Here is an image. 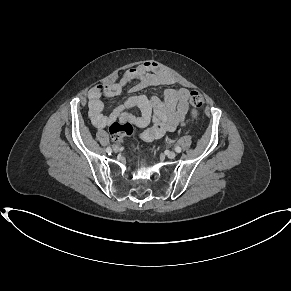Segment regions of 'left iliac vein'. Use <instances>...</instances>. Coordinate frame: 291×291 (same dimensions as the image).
I'll return each mask as SVG.
<instances>
[{"label": "left iliac vein", "instance_id": "obj_1", "mask_svg": "<svg viewBox=\"0 0 291 291\" xmlns=\"http://www.w3.org/2000/svg\"><path fill=\"white\" fill-rule=\"evenodd\" d=\"M167 157L170 158V159H174L176 157V153L173 152V151H168L166 153Z\"/></svg>", "mask_w": 291, "mask_h": 291}]
</instances>
